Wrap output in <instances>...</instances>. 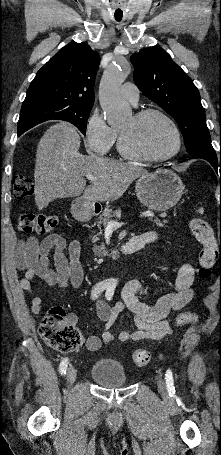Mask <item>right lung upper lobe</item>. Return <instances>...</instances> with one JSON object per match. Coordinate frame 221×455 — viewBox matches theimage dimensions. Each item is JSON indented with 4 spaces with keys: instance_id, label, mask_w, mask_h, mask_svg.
Masks as SVG:
<instances>
[{
    "instance_id": "cb5924a9",
    "label": "right lung upper lobe",
    "mask_w": 221,
    "mask_h": 455,
    "mask_svg": "<svg viewBox=\"0 0 221 455\" xmlns=\"http://www.w3.org/2000/svg\"><path fill=\"white\" fill-rule=\"evenodd\" d=\"M100 56L85 43L72 42L36 74L23 105L41 102L93 104Z\"/></svg>"
}]
</instances>
